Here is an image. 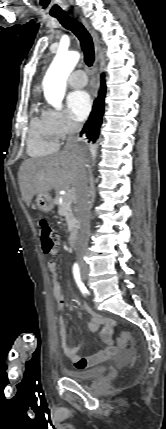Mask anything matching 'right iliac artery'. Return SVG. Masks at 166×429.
Returning <instances> with one entry per match:
<instances>
[{"mask_svg": "<svg viewBox=\"0 0 166 429\" xmlns=\"http://www.w3.org/2000/svg\"><path fill=\"white\" fill-rule=\"evenodd\" d=\"M73 275H74V279H75L78 287L80 288L81 292L83 294H85L87 292V289L81 280L80 268H79V265L77 263H74V265H73Z\"/></svg>", "mask_w": 166, "mask_h": 429, "instance_id": "obj_1", "label": "right iliac artery"}]
</instances>
